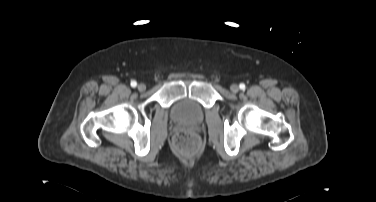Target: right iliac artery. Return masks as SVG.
<instances>
[{
    "label": "right iliac artery",
    "instance_id": "obj_1",
    "mask_svg": "<svg viewBox=\"0 0 376 202\" xmlns=\"http://www.w3.org/2000/svg\"><path fill=\"white\" fill-rule=\"evenodd\" d=\"M131 86L134 88V87H136L137 86V82L136 81H131Z\"/></svg>",
    "mask_w": 376,
    "mask_h": 202
}]
</instances>
